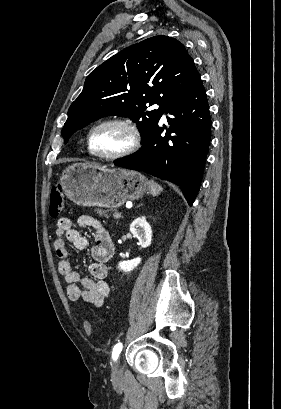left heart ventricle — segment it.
I'll return each mask as SVG.
<instances>
[{"label":"left heart ventricle","mask_w":281,"mask_h":409,"mask_svg":"<svg viewBox=\"0 0 281 409\" xmlns=\"http://www.w3.org/2000/svg\"><path fill=\"white\" fill-rule=\"evenodd\" d=\"M128 142L129 136L125 130L111 126L97 132L94 148L100 154H113L124 148Z\"/></svg>","instance_id":"b2bd125f"}]
</instances>
